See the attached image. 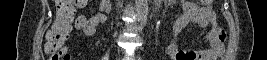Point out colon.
Returning <instances> with one entry per match:
<instances>
[{"label": "colon", "mask_w": 267, "mask_h": 60, "mask_svg": "<svg viewBox=\"0 0 267 60\" xmlns=\"http://www.w3.org/2000/svg\"><path fill=\"white\" fill-rule=\"evenodd\" d=\"M211 3L212 0H205ZM85 0H57L56 15L47 34L45 52L50 60H69L70 56L64 49V43L72 29L75 8L73 4H85ZM84 25V24H83Z\"/></svg>", "instance_id": "colon-1"}]
</instances>
